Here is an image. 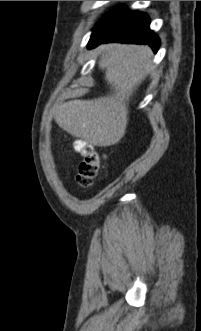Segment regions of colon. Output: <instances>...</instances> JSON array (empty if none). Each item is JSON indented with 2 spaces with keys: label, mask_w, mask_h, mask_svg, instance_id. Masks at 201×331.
I'll list each match as a JSON object with an SVG mask.
<instances>
[{
  "label": "colon",
  "mask_w": 201,
  "mask_h": 331,
  "mask_svg": "<svg viewBox=\"0 0 201 331\" xmlns=\"http://www.w3.org/2000/svg\"><path fill=\"white\" fill-rule=\"evenodd\" d=\"M75 149L83 157L76 177L77 182L82 187H89L100 174L104 157L91 145L83 141H78L75 144Z\"/></svg>",
  "instance_id": "1"
}]
</instances>
